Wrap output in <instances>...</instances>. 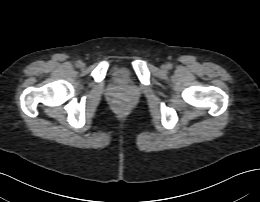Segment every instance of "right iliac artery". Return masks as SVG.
Listing matches in <instances>:
<instances>
[{"instance_id":"right-iliac-artery-1","label":"right iliac artery","mask_w":260,"mask_h":202,"mask_svg":"<svg viewBox=\"0 0 260 202\" xmlns=\"http://www.w3.org/2000/svg\"><path fill=\"white\" fill-rule=\"evenodd\" d=\"M81 63H82L81 61H77V62H76V66H77V67H80Z\"/></svg>"}]
</instances>
